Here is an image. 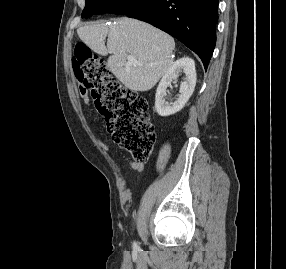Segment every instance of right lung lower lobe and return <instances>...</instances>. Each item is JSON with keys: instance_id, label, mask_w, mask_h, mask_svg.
Returning <instances> with one entry per match:
<instances>
[{"instance_id": "right-lung-lower-lobe-1", "label": "right lung lower lobe", "mask_w": 286, "mask_h": 269, "mask_svg": "<svg viewBox=\"0 0 286 269\" xmlns=\"http://www.w3.org/2000/svg\"><path fill=\"white\" fill-rule=\"evenodd\" d=\"M127 16L177 38L201 58L207 69L216 44L218 0H151Z\"/></svg>"}]
</instances>
